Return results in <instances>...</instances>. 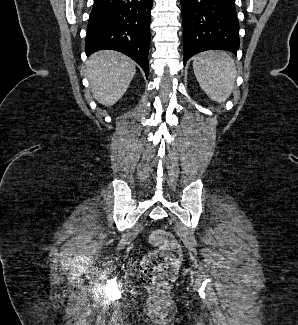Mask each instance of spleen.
I'll use <instances>...</instances> for the list:
<instances>
[{
  "label": "spleen",
  "mask_w": 298,
  "mask_h": 325,
  "mask_svg": "<svg viewBox=\"0 0 298 325\" xmlns=\"http://www.w3.org/2000/svg\"><path fill=\"white\" fill-rule=\"evenodd\" d=\"M194 74L204 92L216 102H224L234 88L235 62L227 52L206 50L193 58Z\"/></svg>",
  "instance_id": "obj_1"
}]
</instances>
